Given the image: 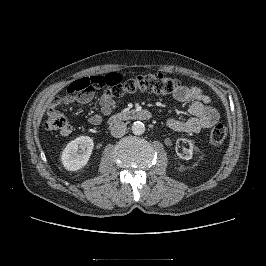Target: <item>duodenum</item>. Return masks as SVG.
Here are the masks:
<instances>
[{
  "label": "duodenum",
  "mask_w": 266,
  "mask_h": 266,
  "mask_svg": "<svg viewBox=\"0 0 266 266\" xmlns=\"http://www.w3.org/2000/svg\"><path fill=\"white\" fill-rule=\"evenodd\" d=\"M152 118L150 111L145 109H132L116 113L109 118V124L115 125L125 120H149Z\"/></svg>",
  "instance_id": "1"
}]
</instances>
